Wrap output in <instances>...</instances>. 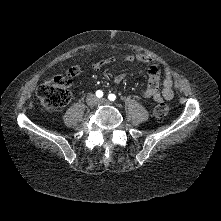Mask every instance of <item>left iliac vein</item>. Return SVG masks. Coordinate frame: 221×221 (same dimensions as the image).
<instances>
[{"mask_svg": "<svg viewBox=\"0 0 221 221\" xmlns=\"http://www.w3.org/2000/svg\"><path fill=\"white\" fill-rule=\"evenodd\" d=\"M98 103H100V104H110V102L107 99H105V98L99 99Z\"/></svg>", "mask_w": 221, "mask_h": 221, "instance_id": "4c4485c4", "label": "left iliac vein"}]
</instances>
